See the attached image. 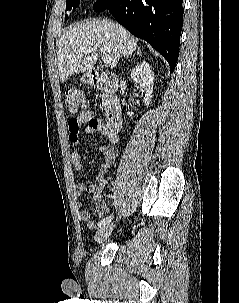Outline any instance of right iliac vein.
Returning <instances> with one entry per match:
<instances>
[{
	"label": "right iliac vein",
	"instance_id": "obj_1",
	"mask_svg": "<svg viewBox=\"0 0 239 303\" xmlns=\"http://www.w3.org/2000/svg\"><path fill=\"white\" fill-rule=\"evenodd\" d=\"M113 228H114V225L109 224V225H105V226L101 227L100 229H98L95 234V237H94L96 243L100 244L103 241H105L110 236Z\"/></svg>",
	"mask_w": 239,
	"mask_h": 303
}]
</instances>
